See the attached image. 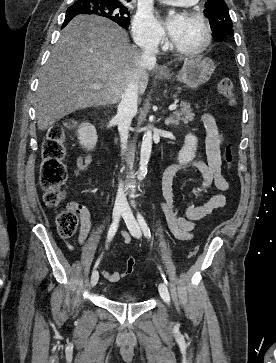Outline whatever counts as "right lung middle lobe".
Here are the masks:
<instances>
[{"instance_id": "obj_1", "label": "right lung middle lobe", "mask_w": 276, "mask_h": 363, "mask_svg": "<svg viewBox=\"0 0 276 363\" xmlns=\"http://www.w3.org/2000/svg\"><path fill=\"white\" fill-rule=\"evenodd\" d=\"M78 14L98 15L109 18L120 26L127 28L129 25L128 9L121 2L106 0H75L67 9L66 16Z\"/></svg>"}]
</instances>
